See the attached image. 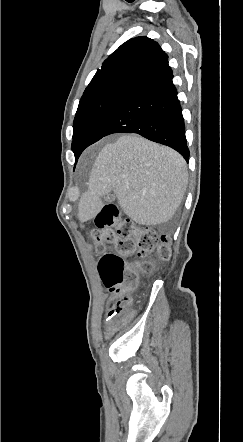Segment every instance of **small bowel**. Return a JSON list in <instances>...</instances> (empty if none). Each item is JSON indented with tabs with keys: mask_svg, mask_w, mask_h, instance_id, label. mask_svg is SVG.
<instances>
[{
	"mask_svg": "<svg viewBox=\"0 0 243 442\" xmlns=\"http://www.w3.org/2000/svg\"><path fill=\"white\" fill-rule=\"evenodd\" d=\"M114 315L113 312L111 310L108 311L107 313V318L105 321V327L107 330H112L114 328Z\"/></svg>",
	"mask_w": 243,
	"mask_h": 442,
	"instance_id": "c3829d8e",
	"label": "small bowel"
}]
</instances>
